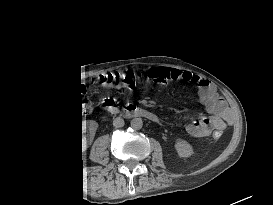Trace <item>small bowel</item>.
<instances>
[{
    "instance_id": "1",
    "label": "small bowel",
    "mask_w": 273,
    "mask_h": 205,
    "mask_svg": "<svg viewBox=\"0 0 273 205\" xmlns=\"http://www.w3.org/2000/svg\"><path fill=\"white\" fill-rule=\"evenodd\" d=\"M147 77H165V80L182 79L189 83L197 84L199 95L205 105V111L210 114L185 125L186 132L193 137L209 136L216 131L223 130L232 121V112L225 101L219 96L214 85L206 78L194 73L175 68H151ZM164 80V79H163ZM163 82L157 83L161 86Z\"/></svg>"
}]
</instances>
